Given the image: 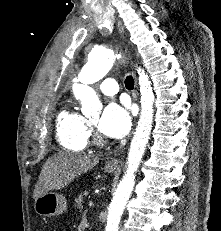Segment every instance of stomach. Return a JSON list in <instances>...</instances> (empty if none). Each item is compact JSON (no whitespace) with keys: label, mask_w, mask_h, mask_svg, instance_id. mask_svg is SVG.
I'll return each instance as SVG.
<instances>
[{"label":"stomach","mask_w":221,"mask_h":231,"mask_svg":"<svg viewBox=\"0 0 221 231\" xmlns=\"http://www.w3.org/2000/svg\"><path fill=\"white\" fill-rule=\"evenodd\" d=\"M114 168L106 167L108 173L114 172ZM34 210L41 216H55L67 210L66 198L58 193L48 192L35 199Z\"/></svg>","instance_id":"1"}]
</instances>
